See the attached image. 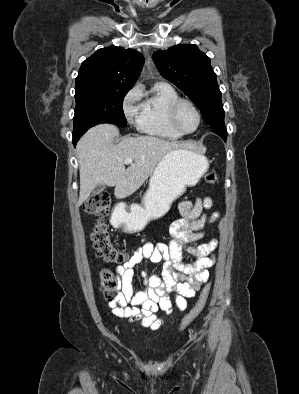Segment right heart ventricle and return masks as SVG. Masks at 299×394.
<instances>
[{"label":"right heart ventricle","instance_id":"1","mask_svg":"<svg viewBox=\"0 0 299 394\" xmlns=\"http://www.w3.org/2000/svg\"><path fill=\"white\" fill-rule=\"evenodd\" d=\"M179 98V94L171 85L164 82L156 83L151 94L141 104L137 119L141 132L171 140L181 138L182 134L174 130L168 120V110Z\"/></svg>","mask_w":299,"mask_h":394}]
</instances>
